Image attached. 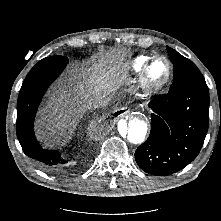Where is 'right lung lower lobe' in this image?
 Here are the masks:
<instances>
[{"mask_svg":"<svg viewBox=\"0 0 221 221\" xmlns=\"http://www.w3.org/2000/svg\"><path fill=\"white\" fill-rule=\"evenodd\" d=\"M68 59L64 56L47 57L39 61L28 73L20 89L17 102L16 132L23 152L43 170L65 174L71 162L57 150L43 149L35 138L34 117L49 85L63 71Z\"/></svg>","mask_w":221,"mask_h":221,"instance_id":"right-lung-lower-lobe-1","label":"right lung lower lobe"}]
</instances>
